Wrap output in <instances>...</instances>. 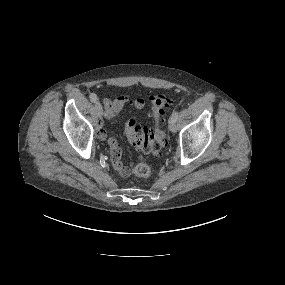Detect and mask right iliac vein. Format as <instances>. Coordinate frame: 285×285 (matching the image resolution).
Listing matches in <instances>:
<instances>
[{
	"mask_svg": "<svg viewBox=\"0 0 285 285\" xmlns=\"http://www.w3.org/2000/svg\"><path fill=\"white\" fill-rule=\"evenodd\" d=\"M95 109H96V111H97V113H98V116L100 117L101 115H102V106H101V104L99 103V102H95Z\"/></svg>",
	"mask_w": 285,
	"mask_h": 285,
	"instance_id": "right-iliac-vein-1",
	"label": "right iliac vein"
}]
</instances>
